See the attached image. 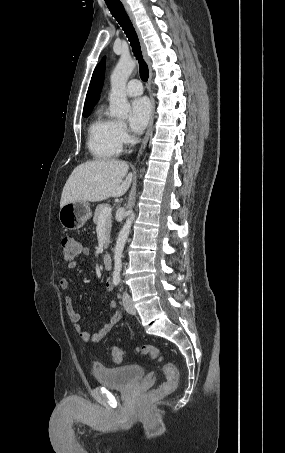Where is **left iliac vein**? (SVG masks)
Segmentation results:
<instances>
[{
  "instance_id": "obj_1",
  "label": "left iliac vein",
  "mask_w": 285,
  "mask_h": 453,
  "mask_svg": "<svg viewBox=\"0 0 285 453\" xmlns=\"http://www.w3.org/2000/svg\"><path fill=\"white\" fill-rule=\"evenodd\" d=\"M122 303H123L125 310L128 313H130L132 315L136 314V310H135L133 301L127 292H124L122 295Z\"/></svg>"
}]
</instances>
